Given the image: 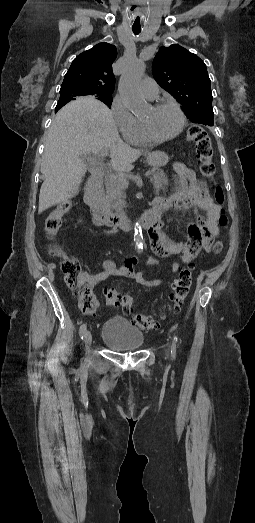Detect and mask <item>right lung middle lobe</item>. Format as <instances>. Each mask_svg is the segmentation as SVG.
<instances>
[{
    "label": "right lung middle lobe",
    "instance_id": "1",
    "mask_svg": "<svg viewBox=\"0 0 255 523\" xmlns=\"http://www.w3.org/2000/svg\"><path fill=\"white\" fill-rule=\"evenodd\" d=\"M60 99L61 101H71V100H75V97L76 95L74 94H70V93H67V92H60ZM98 100L104 102L109 108H111V104H112V101H113V98L111 95H106V96H97L96 97Z\"/></svg>",
    "mask_w": 255,
    "mask_h": 523
}]
</instances>
